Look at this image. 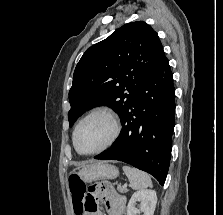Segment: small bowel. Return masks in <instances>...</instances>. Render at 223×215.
I'll return each instance as SVG.
<instances>
[{
  "instance_id": "small-bowel-1",
  "label": "small bowel",
  "mask_w": 223,
  "mask_h": 215,
  "mask_svg": "<svg viewBox=\"0 0 223 215\" xmlns=\"http://www.w3.org/2000/svg\"><path fill=\"white\" fill-rule=\"evenodd\" d=\"M98 202H102L110 215H123L126 205L124 196L116 193L108 182L93 184L86 195V203L94 209L86 215H102L98 210Z\"/></svg>"
}]
</instances>
